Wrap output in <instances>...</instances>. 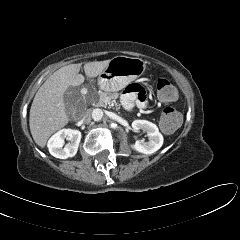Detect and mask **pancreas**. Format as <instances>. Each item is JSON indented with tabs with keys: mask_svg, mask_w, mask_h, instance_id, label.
Segmentation results:
<instances>
[{
	"mask_svg": "<svg viewBox=\"0 0 240 240\" xmlns=\"http://www.w3.org/2000/svg\"><path fill=\"white\" fill-rule=\"evenodd\" d=\"M115 97L114 94H108L102 91H98L96 93V96L94 98H91L90 101L93 103V105L98 106V107H106L107 106V101L110 98Z\"/></svg>",
	"mask_w": 240,
	"mask_h": 240,
	"instance_id": "1",
	"label": "pancreas"
}]
</instances>
